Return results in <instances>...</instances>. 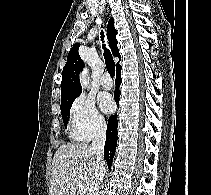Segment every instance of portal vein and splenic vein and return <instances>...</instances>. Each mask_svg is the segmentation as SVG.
Returning <instances> with one entry per match:
<instances>
[{
	"label": "portal vein and splenic vein",
	"mask_w": 211,
	"mask_h": 195,
	"mask_svg": "<svg viewBox=\"0 0 211 195\" xmlns=\"http://www.w3.org/2000/svg\"><path fill=\"white\" fill-rule=\"evenodd\" d=\"M85 193H86V191H85L84 187L82 186V184H79V194L80 195H85Z\"/></svg>",
	"instance_id": "portal-vein-and-splenic-vein-1"
}]
</instances>
